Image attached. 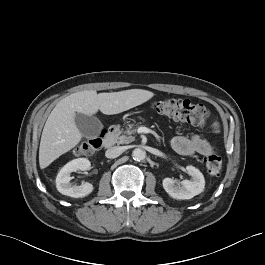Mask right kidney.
Returning <instances> with one entry per match:
<instances>
[{
    "mask_svg": "<svg viewBox=\"0 0 265 265\" xmlns=\"http://www.w3.org/2000/svg\"><path fill=\"white\" fill-rule=\"evenodd\" d=\"M91 163L86 158H77L68 162L56 177V188L63 194L73 198H80L89 195L93 191V185L88 182H82L81 185H72L70 183L72 177L71 172L81 170H89Z\"/></svg>",
    "mask_w": 265,
    "mask_h": 265,
    "instance_id": "ca27d5eb",
    "label": "right kidney"
}]
</instances>
